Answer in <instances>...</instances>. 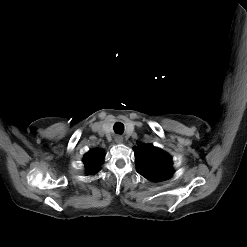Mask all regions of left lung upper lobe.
Instances as JSON below:
<instances>
[{
	"label": "left lung upper lobe",
	"instance_id": "left-lung-upper-lobe-1",
	"mask_svg": "<svg viewBox=\"0 0 247 247\" xmlns=\"http://www.w3.org/2000/svg\"><path fill=\"white\" fill-rule=\"evenodd\" d=\"M135 164L139 174L153 182H160L172 176V158L163 150L150 144L134 148Z\"/></svg>",
	"mask_w": 247,
	"mask_h": 247
}]
</instances>
